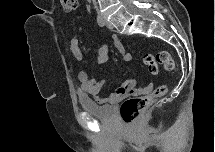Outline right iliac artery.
<instances>
[{
    "instance_id": "right-iliac-artery-1",
    "label": "right iliac artery",
    "mask_w": 215,
    "mask_h": 152,
    "mask_svg": "<svg viewBox=\"0 0 215 152\" xmlns=\"http://www.w3.org/2000/svg\"><path fill=\"white\" fill-rule=\"evenodd\" d=\"M97 23L99 26L104 27L105 26V22L104 20L98 15L97 16Z\"/></svg>"
}]
</instances>
